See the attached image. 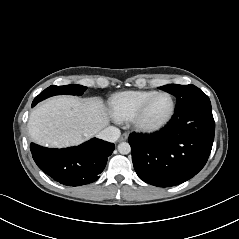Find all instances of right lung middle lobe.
Wrapping results in <instances>:
<instances>
[{
  "instance_id": "right-lung-middle-lobe-1",
  "label": "right lung middle lobe",
  "mask_w": 239,
  "mask_h": 239,
  "mask_svg": "<svg viewBox=\"0 0 239 239\" xmlns=\"http://www.w3.org/2000/svg\"><path fill=\"white\" fill-rule=\"evenodd\" d=\"M87 87L81 85H65V86H56L52 85L46 88L43 92H41L38 96L35 97V104L54 95H82L86 91Z\"/></svg>"
}]
</instances>
